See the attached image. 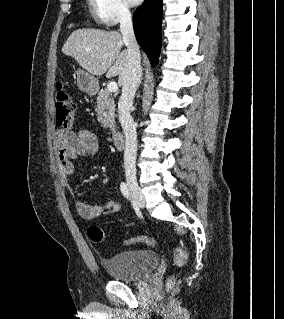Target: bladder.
I'll use <instances>...</instances> for the list:
<instances>
[{"mask_svg":"<svg viewBox=\"0 0 284 319\" xmlns=\"http://www.w3.org/2000/svg\"><path fill=\"white\" fill-rule=\"evenodd\" d=\"M159 258L154 251L146 249L125 250L104 261L110 276L119 281H135L153 271Z\"/></svg>","mask_w":284,"mask_h":319,"instance_id":"obj_1","label":"bladder"}]
</instances>
